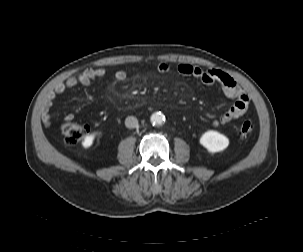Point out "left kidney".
Wrapping results in <instances>:
<instances>
[{
	"mask_svg": "<svg viewBox=\"0 0 303 252\" xmlns=\"http://www.w3.org/2000/svg\"><path fill=\"white\" fill-rule=\"evenodd\" d=\"M200 144L209 152L215 153L226 149L229 145V140L223 134L210 130L201 136Z\"/></svg>",
	"mask_w": 303,
	"mask_h": 252,
	"instance_id": "5707ae66",
	"label": "left kidney"
}]
</instances>
